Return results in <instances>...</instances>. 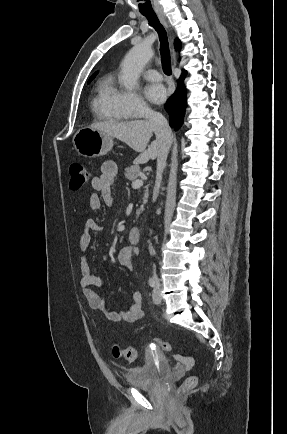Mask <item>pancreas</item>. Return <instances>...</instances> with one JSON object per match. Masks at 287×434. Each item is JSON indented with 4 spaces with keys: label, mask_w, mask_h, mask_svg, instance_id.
Masks as SVG:
<instances>
[{
    "label": "pancreas",
    "mask_w": 287,
    "mask_h": 434,
    "mask_svg": "<svg viewBox=\"0 0 287 434\" xmlns=\"http://www.w3.org/2000/svg\"><path fill=\"white\" fill-rule=\"evenodd\" d=\"M124 175L126 179L130 181H134L140 176V167L138 165L130 166L125 169ZM147 197H148V191L146 190L143 198V203H146ZM141 210L142 209L138 210L136 214L139 215Z\"/></svg>",
    "instance_id": "pancreas-1"
}]
</instances>
